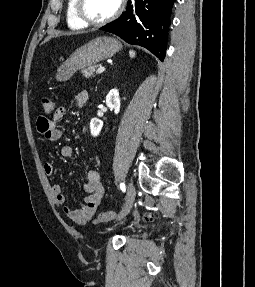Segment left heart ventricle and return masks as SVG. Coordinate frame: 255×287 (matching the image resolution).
Instances as JSON below:
<instances>
[{
    "label": "left heart ventricle",
    "instance_id": "1",
    "mask_svg": "<svg viewBox=\"0 0 255 287\" xmlns=\"http://www.w3.org/2000/svg\"><path fill=\"white\" fill-rule=\"evenodd\" d=\"M94 33H116V32H94ZM97 39H109V38H97ZM97 48H129V47H97Z\"/></svg>",
    "mask_w": 255,
    "mask_h": 287
}]
</instances>
